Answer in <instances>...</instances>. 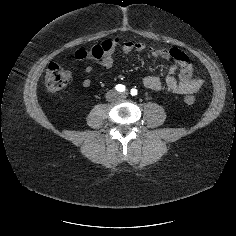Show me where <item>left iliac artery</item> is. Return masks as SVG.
I'll use <instances>...</instances> for the list:
<instances>
[{"mask_svg": "<svg viewBox=\"0 0 236 236\" xmlns=\"http://www.w3.org/2000/svg\"><path fill=\"white\" fill-rule=\"evenodd\" d=\"M137 92H138L137 89L133 88V89H131L130 94L132 96H135V95H137Z\"/></svg>", "mask_w": 236, "mask_h": 236, "instance_id": "left-iliac-artery-1", "label": "left iliac artery"}]
</instances>
